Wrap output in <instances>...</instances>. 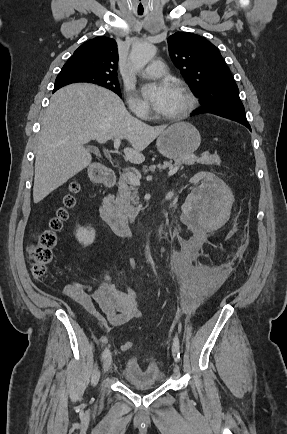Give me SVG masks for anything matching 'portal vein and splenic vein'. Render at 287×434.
Listing matches in <instances>:
<instances>
[{
  "instance_id": "18ae733b",
  "label": "portal vein and splenic vein",
  "mask_w": 287,
  "mask_h": 434,
  "mask_svg": "<svg viewBox=\"0 0 287 434\" xmlns=\"http://www.w3.org/2000/svg\"><path fill=\"white\" fill-rule=\"evenodd\" d=\"M120 143H121V139L120 138H116L114 140V147H115V151L116 152H118V147H119ZM178 169H179L178 165L174 166V167L173 166L170 167L169 168V172H168V176L169 177L173 176L177 172ZM126 174H127V177H128V179H129V181H130L131 184H133L135 186H139L140 185V180H139V178L134 173L127 172Z\"/></svg>"
}]
</instances>
